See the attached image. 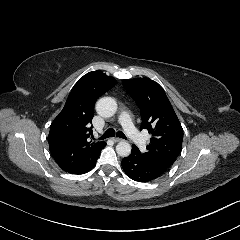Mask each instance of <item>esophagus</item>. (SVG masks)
<instances>
[{"label": "esophagus", "instance_id": "esophagus-1", "mask_svg": "<svg viewBox=\"0 0 240 240\" xmlns=\"http://www.w3.org/2000/svg\"><path fill=\"white\" fill-rule=\"evenodd\" d=\"M113 140H114V142H121V141H123V139H121V138H114Z\"/></svg>", "mask_w": 240, "mask_h": 240}]
</instances>
